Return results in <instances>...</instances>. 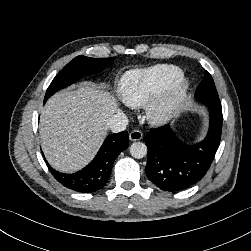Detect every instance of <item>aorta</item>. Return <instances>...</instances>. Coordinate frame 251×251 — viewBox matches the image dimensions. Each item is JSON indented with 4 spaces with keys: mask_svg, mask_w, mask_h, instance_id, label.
I'll return each mask as SVG.
<instances>
[{
    "mask_svg": "<svg viewBox=\"0 0 251 251\" xmlns=\"http://www.w3.org/2000/svg\"><path fill=\"white\" fill-rule=\"evenodd\" d=\"M130 154L137 159L143 158L147 154V146L142 142H134L130 146Z\"/></svg>",
    "mask_w": 251,
    "mask_h": 251,
    "instance_id": "762f6f07",
    "label": "aorta"
}]
</instances>
